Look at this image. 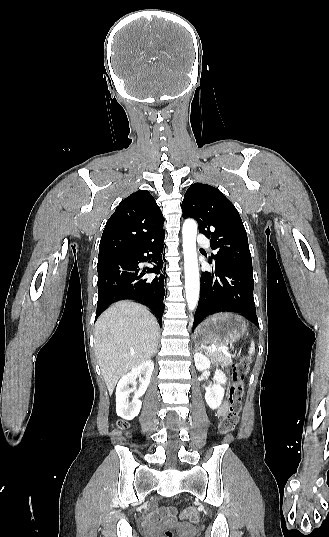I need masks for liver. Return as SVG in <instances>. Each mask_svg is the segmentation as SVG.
Returning <instances> with one entry per match:
<instances>
[{
    "label": "liver",
    "instance_id": "6515ba94",
    "mask_svg": "<svg viewBox=\"0 0 329 537\" xmlns=\"http://www.w3.org/2000/svg\"><path fill=\"white\" fill-rule=\"evenodd\" d=\"M159 324L148 309L120 301L95 324V355L110 395L129 370L151 359L157 348Z\"/></svg>",
    "mask_w": 329,
    "mask_h": 537
}]
</instances>
